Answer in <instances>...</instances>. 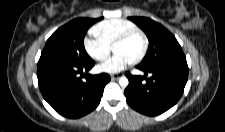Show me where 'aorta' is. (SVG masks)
I'll return each instance as SVG.
<instances>
[{
    "label": "aorta",
    "mask_w": 225,
    "mask_h": 132,
    "mask_svg": "<svg viewBox=\"0 0 225 132\" xmlns=\"http://www.w3.org/2000/svg\"><path fill=\"white\" fill-rule=\"evenodd\" d=\"M128 84H129V81H128L127 77L122 76V77L119 78V85L121 87H124L125 88V87L128 86Z\"/></svg>",
    "instance_id": "aorta-1"
}]
</instances>
